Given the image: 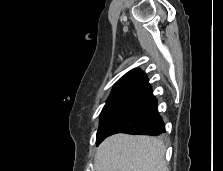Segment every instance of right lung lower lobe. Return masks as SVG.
<instances>
[{"instance_id": "right-lung-lower-lobe-1", "label": "right lung lower lobe", "mask_w": 223, "mask_h": 171, "mask_svg": "<svg viewBox=\"0 0 223 171\" xmlns=\"http://www.w3.org/2000/svg\"><path fill=\"white\" fill-rule=\"evenodd\" d=\"M165 126L158 115L157 101L152 90L137 98L130 107L117 118L105 131L97 145L106 137L115 133L139 135H160Z\"/></svg>"}]
</instances>
